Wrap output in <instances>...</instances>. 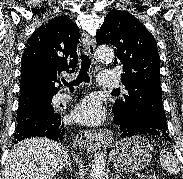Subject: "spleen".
I'll return each mask as SVG.
<instances>
[{"instance_id": "3e777b00", "label": "spleen", "mask_w": 183, "mask_h": 179, "mask_svg": "<svg viewBox=\"0 0 183 179\" xmlns=\"http://www.w3.org/2000/svg\"><path fill=\"white\" fill-rule=\"evenodd\" d=\"M159 162L169 174H178L180 171L178 160L165 150H162Z\"/></svg>"}]
</instances>
